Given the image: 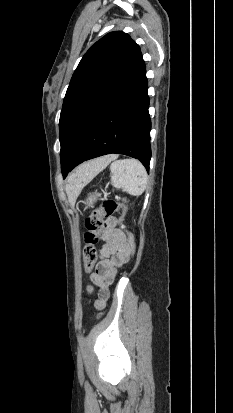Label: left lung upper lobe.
I'll use <instances>...</instances> for the list:
<instances>
[{"label": "left lung upper lobe", "instance_id": "obj_1", "mask_svg": "<svg viewBox=\"0 0 233 413\" xmlns=\"http://www.w3.org/2000/svg\"><path fill=\"white\" fill-rule=\"evenodd\" d=\"M140 53L122 31L108 33L85 53L67 89L60 114V158L74 157L90 122L121 84Z\"/></svg>", "mask_w": 233, "mask_h": 413}]
</instances>
